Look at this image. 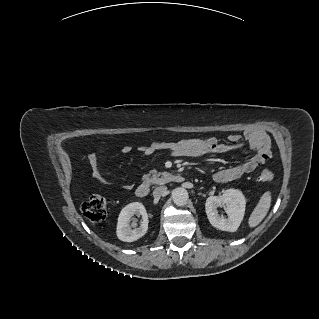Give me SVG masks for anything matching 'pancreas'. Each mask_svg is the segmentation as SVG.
Returning a JSON list of instances; mask_svg holds the SVG:
<instances>
[{
    "mask_svg": "<svg viewBox=\"0 0 319 319\" xmlns=\"http://www.w3.org/2000/svg\"><path fill=\"white\" fill-rule=\"evenodd\" d=\"M166 176H167L166 172H158L157 170H151L144 177V180L158 185V184H163Z\"/></svg>",
    "mask_w": 319,
    "mask_h": 319,
    "instance_id": "obj_1",
    "label": "pancreas"
}]
</instances>
